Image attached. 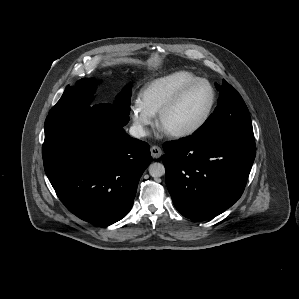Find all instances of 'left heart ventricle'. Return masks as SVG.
I'll list each match as a JSON object with an SVG mask.
<instances>
[{
	"label": "left heart ventricle",
	"mask_w": 299,
	"mask_h": 299,
	"mask_svg": "<svg viewBox=\"0 0 299 299\" xmlns=\"http://www.w3.org/2000/svg\"><path fill=\"white\" fill-rule=\"evenodd\" d=\"M211 98L207 85L191 88L179 103L165 116L163 129L168 132L187 129L196 124L204 115Z\"/></svg>",
	"instance_id": "1"
}]
</instances>
